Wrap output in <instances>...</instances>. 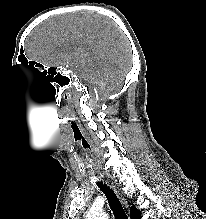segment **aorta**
Here are the masks:
<instances>
[{
	"mask_svg": "<svg viewBox=\"0 0 206 219\" xmlns=\"http://www.w3.org/2000/svg\"><path fill=\"white\" fill-rule=\"evenodd\" d=\"M86 219H108V217L104 212H100V213H90Z\"/></svg>",
	"mask_w": 206,
	"mask_h": 219,
	"instance_id": "762f6f07",
	"label": "aorta"
}]
</instances>
